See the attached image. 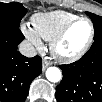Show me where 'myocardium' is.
Masks as SVG:
<instances>
[{"label": "myocardium", "mask_w": 102, "mask_h": 102, "mask_svg": "<svg viewBox=\"0 0 102 102\" xmlns=\"http://www.w3.org/2000/svg\"><path fill=\"white\" fill-rule=\"evenodd\" d=\"M79 22H86L89 27V36L84 43V45L80 48L78 52H76L73 55H63L59 52L58 47L60 43L65 39V37L69 34L71 29ZM93 28L91 21L87 18H81L78 17L75 20H73L71 23H69L67 26H65L57 35L53 37V39L50 41V50L52 55L59 61L63 63H72L77 60H79L89 49L90 45L93 41Z\"/></svg>", "instance_id": "1"}]
</instances>
